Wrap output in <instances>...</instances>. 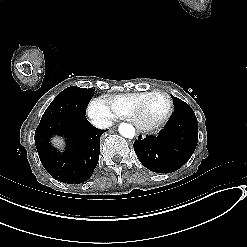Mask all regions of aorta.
<instances>
[{
    "label": "aorta",
    "mask_w": 247,
    "mask_h": 247,
    "mask_svg": "<svg viewBox=\"0 0 247 247\" xmlns=\"http://www.w3.org/2000/svg\"><path fill=\"white\" fill-rule=\"evenodd\" d=\"M119 133L125 138H133L135 135V128L128 123H121L119 125Z\"/></svg>",
    "instance_id": "aorta-1"
}]
</instances>
